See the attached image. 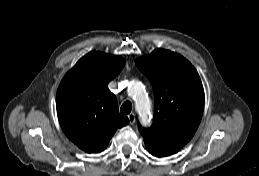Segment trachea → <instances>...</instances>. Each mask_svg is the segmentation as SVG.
Listing matches in <instances>:
<instances>
[{"mask_svg": "<svg viewBox=\"0 0 259 176\" xmlns=\"http://www.w3.org/2000/svg\"><path fill=\"white\" fill-rule=\"evenodd\" d=\"M132 110V104L129 101H126L122 104L120 111L124 114H129Z\"/></svg>", "mask_w": 259, "mask_h": 176, "instance_id": "1", "label": "trachea"}]
</instances>
